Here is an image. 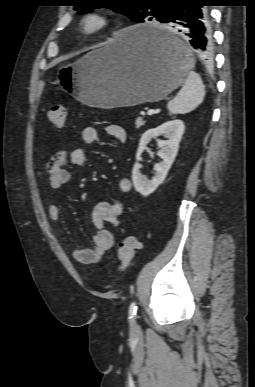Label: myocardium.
I'll return each mask as SVG.
<instances>
[{"mask_svg":"<svg viewBox=\"0 0 255 387\" xmlns=\"http://www.w3.org/2000/svg\"><path fill=\"white\" fill-rule=\"evenodd\" d=\"M111 25V19L106 13L90 10L80 19V31L85 36H95L104 32Z\"/></svg>","mask_w":255,"mask_h":387,"instance_id":"1","label":"myocardium"}]
</instances>
